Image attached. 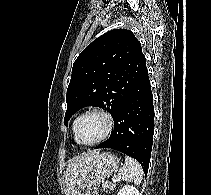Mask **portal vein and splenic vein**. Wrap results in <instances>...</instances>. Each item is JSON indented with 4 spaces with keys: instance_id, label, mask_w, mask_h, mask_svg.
<instances>
[{
    "instance_id": "portal-vein-and-splenic-vein-1",
    "label": "portal vein and splenic vein",
    "mask_w": 211,
    "mask_h": 195,
    "mask_svg": "<svg viewBox=\"0 0 211 195\" xmlns=\"http://www.w3.org/2000/svg\"><path fill=\"white\" fill-rule=\"evenodd\" d=\"M117 181H120V178L113 179L114 183H116Z\"/></svg>"
}]
</instances>
